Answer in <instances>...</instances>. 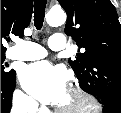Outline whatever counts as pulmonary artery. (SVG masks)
<instances>
[{
    "instance_id": "pulmonary-artery-1",
    "label": "pulmonary artery",
    "mask_w": 121,
    "mask_h": 113,
    "mask_svg": "<svg viewBox=\"0 0 121 113\" xmlns=\"http://www.w3.org/2000/svg\"><path fill=\"white\" fill-rule=\"evenodd\" d=\"M49 48L53 51H61L65 47V37L63 34L55 33L48 40ZM48 51L41 45L31 42L22 41L16 44L8 52L10 59L21 61H33L46 57Z\"/></svg>"
}]
</instances>
